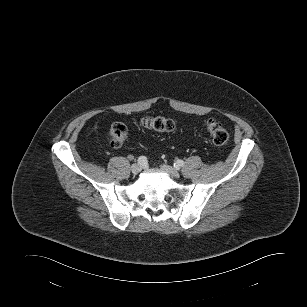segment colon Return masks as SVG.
<instances>
[{"label": "colon", "instance_id": "5ec220e1", "mask_svg": "<svg viewBox=\"0 0 307 307\" xmlns=\"http://www.w3.org/2000/svg\"><path fill=\"white\" fill-rule=\"evenodd\" d=\"M141 125L156 132H171L176 128L174 120L161 116H146L141 119ZM205 128L213 143L217 146H226L229 141V133L224 126L213 119L205 122ZM128 129L121 122L114 123L108 131V141L114 148L120 147L127 138Z\"/></svg>", "mask_w": 307, "mask_h": 307}]
</instances>
